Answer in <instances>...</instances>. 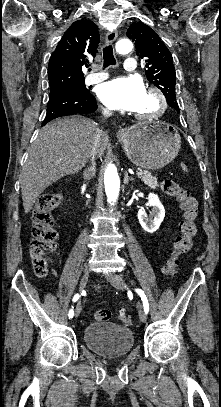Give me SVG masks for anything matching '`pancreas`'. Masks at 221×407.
<instances>
[{"label": "pancreas", "instance_id": "pancreas-1", "mask_svg": "<svg viewBox=\"0 0 221 407\" xmlns=\"http://www.w3.org/2000/svg\"><path fill=\"white\" fill-rule=\"evenodd\" d=\"M138 172L142 173L139 177L146 185L153 189L158 187L157 178L155 176H152L150 172L142 171L140 169L138 170Z\"/></svg>", "mask_w": 221, "mask_h": 407}]
</instances>
